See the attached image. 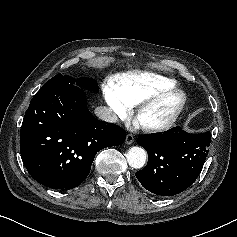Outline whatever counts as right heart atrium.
<instances>
[{"label":"right heart atrium","mask_w":237,"mask_h":237,"mask_svg":"<svg viewBox=\"0 0 237 237\" xmlns=\"http://www.w3.org/2000/svg\"><path fill=\"white\" fill-rule=\"evenodd\" d=\"M103 94L114 119L124 118L130 114L132 105L122 97L113 81H108L104 85Z\"/></svg>","instance_id":"d8ad5b80"}]
</instances>
